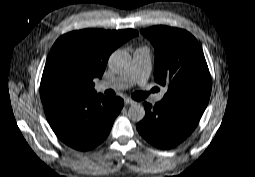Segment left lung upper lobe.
Wrapping results in <instances>:
<instances>
[{"instance_id": "left-lung-upper-lobe-1", "label": "left lung upper lobe", "mask_w": 255, "mask_h": 177, "mask_svg": "<svg viewBox=\"0 0 255 177\" xmlns=\"http://www.w3.org/2000/svg\"><path fill=\"white\" fill-rule=\"evenodd\" d=\"M141 33L155 48V81L168 86L163 99L206 106L211 78L197 40L185 30L167 26H154Z\"/></svg>"}]
</instances>
